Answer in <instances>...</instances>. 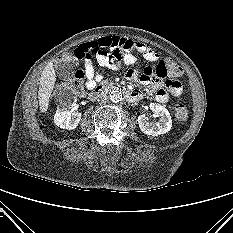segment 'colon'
<instances>
[{"label":"colon","mask_w":233,"mask_h":233,"mask_svg":"<svg viewBox=\"0 0 233 233\" xmlns=\"http://www.w3.org/2000/svg\"><path fill=\"white\" fill-rule=\"evenodd\" d=\"M158 73L161 76H180L182 74V68L172 58L167 57L160 62ZM62 88L77 96H81L84 93V73L81 71L76 72L72 78L62 84ZM174 113L178 120L183 121L188 118L189 109L185 104L178 103L174 108Z\"/></svg>","instance_id":"colon-1"}]
</instances>
